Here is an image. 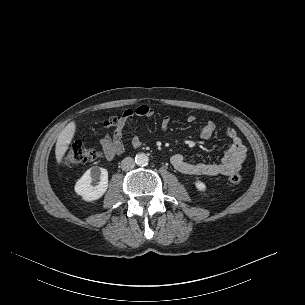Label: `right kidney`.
Returning a JSON list of instances; mask_svg holds the SVG:
<instances>
[{
    "label": "right kidney",
    "mask_w": 305,
    "mask_h": 305,
    "mask_svg": "<svg viewBox=\"0 0 305 305\" xmlns=\"http://www.w3.org/2000/svg\"><path fill=\"white\" fill-rule=\"evenodd\" d=\"M96 182V185H92ZM108 188V171L104 168L93 166L89 168L75 184V192L83 200L91 202L101 198Z\"/></svg>",
    "instance_id": "1"
}]
</instances>
